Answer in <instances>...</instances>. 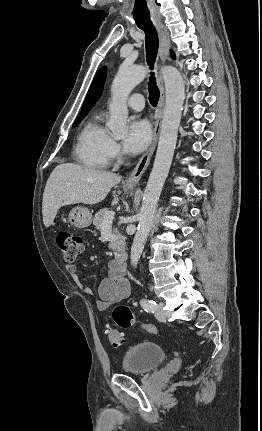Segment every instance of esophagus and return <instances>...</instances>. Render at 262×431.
<instances>
[{
	"instance_id": "obj_1",
	"label": "esophagus",
	"mask_w": 262,
	"mask_h": 431,
	"mask_svg": "<svg viewBox=\"0 0 262 431\" xmlns=\"http://www.w3.org/2000/svg\"><path fill=\"white\" fill-rule=\"evenodd\" d=\"M156 29L158 31L159 39H160V58L162 63H165L166 60L168 59L169 48H170L169 31L166 28V26H164L163 24L156 25ZM159 86H160V97H159V103H158L157 109L155 111L153 139L149 148L145 151V153L142 155L137 165L134 167L132 172L126 178L127 186L138 185L141 176L143 175V173L145 172L146 168L150 163L151 157L157 145L158 137L160 134L161 122H162L163 111H164V100H165V91H164L162 75L159 76Z\"/></svg>"
}]
</instances>
